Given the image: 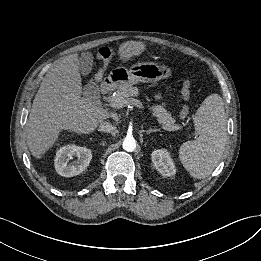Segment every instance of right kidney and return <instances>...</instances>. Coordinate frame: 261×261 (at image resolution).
Wrapping results in <instances>:
<instances>
[{
  "mask_svg": "<svg viewBox=\"0 0 261 261\" xmlns=\"http://www.w3.org/2000/svg\"><path fill=\"white\" fill-rule=\"evenodd\" d=\"M73 156H76L77 159L72 164H68ZM91 159L92 153L90 149L74 144L65 145L56 152L55 169L61 176H76L88 167Z\"/></svg>",
  "mask_w": 261,
  "mask_h": 261,
  "instance_id": "ca27d5eb",
  "label": "right kidney"
}]
</instances>
